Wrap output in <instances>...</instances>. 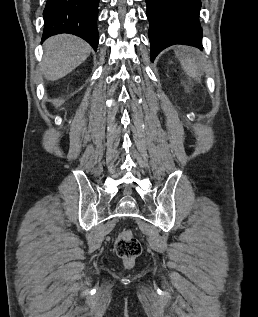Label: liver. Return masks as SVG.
I'll return each instance as SVG.
<instances>
[{
    "instance_id": "1",
    "label": "liver",
    "mask_w": 258,
    "mask_h": 317,
    "mask_svg": "<svg viewBox=\"0 0 258 317\" xmlns=\"http://www.w3.org/2000/svg\"><path fill=\"white\" fill-rule=\"evenodd\" d=\"M43 72L48 80L62 78L86 60L91 46L73 34H56L44 42Z\"/></svg>"
}]
</instances>
